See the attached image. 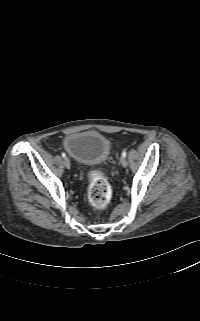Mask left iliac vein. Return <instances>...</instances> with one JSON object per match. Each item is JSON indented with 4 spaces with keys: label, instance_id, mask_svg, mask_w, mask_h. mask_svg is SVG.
<instances>
[{
    "label": "left iliac vein",
    "instance_id": "left-iliac-vein-1",
    "mask_svg": "<svg viewBox=\"0 0 200 321\" xmlns=\"http://www.w3.org/2000/svg\"><path fill=\"white\" fill-rule=\"evenodd\" d=\"M120 163L122 164L123 167H126L128 165V162L125 157L120 158Z\"/></svg>",
    "mask_w": 200,
    "mask_h": 321
}]
</instances>
